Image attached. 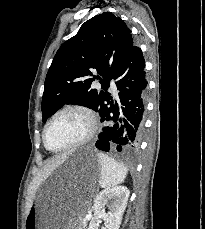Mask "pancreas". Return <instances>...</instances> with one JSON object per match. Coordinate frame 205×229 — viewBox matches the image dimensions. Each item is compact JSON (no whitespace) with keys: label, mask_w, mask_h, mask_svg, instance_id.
Masks as SVG:
<instances>
[{"label":"pancreas","mask_w":205,"mask_h":229,"mask_svg":"<svg viewBox=\"0 0 205 229\" xmlns=\"http://www.w3.org/2000/svg\"><path fill=\"white\" fill-rule=\"evenodd\" d=\"M80 226H81V228H79V229H82V228L85 229V227H86V222L81 221Z\"/></svg>","instance_id":"cf45deb5"}]
</instances>
